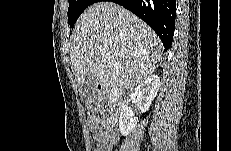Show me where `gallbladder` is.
<instances>
[{
	"label": "gallbladder",
	"mask_w": 231,
	"mask_h": 151,
	"mask_svg": "<svg viewBox=\"0 0 231 151\" xmlns=\"http://www.w3.org/2000/svg\"><path fill=\"white\" fill-rule=\"evenodd\" d=\"M97 80L92 75H87L81 89V99L88 103L94 101L96 97Z\"/></svg>",
	"instance_id": "gallbladder-1"
}]
</instances>
